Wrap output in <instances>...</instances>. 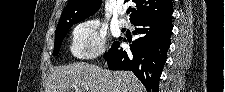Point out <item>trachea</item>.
I'll return each instance as SVG.
<instances>
[{"label": "trachea", "instance_id": "1", "mask_svg": "<svg viewBox=\"0 0 225 92\" xmlns=\"http://www.w3.org/2000/svg\"><path fill=\"white\" fill-rule=\"evenodd\" d=\"M130 12H132V10L131 9H128L126 13L129 14Z\"/></svg>", "mask_w": 225, "mask_h": 92}]
</instances>
